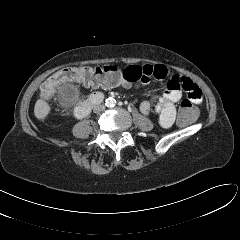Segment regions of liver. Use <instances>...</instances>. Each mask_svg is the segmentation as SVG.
Returning <instances> with one entry per match:
<instances>
[{
    "mask_svg": "<svg viewBox=\"0 0 240 240\" xmlns=\"http://www.w3.org/2000/svg\"><path fill=\"white\" fill-rule=\"evenodd\" d=\"M51 108L43 99H38L34 106V115L37 119L43 120L49 114Z\"/></svg>",
    "mask_w": 240,
    "mask_h": 240,
    "instance_id": "6515ba94",
    "label": "liver"
}]
</instances>
